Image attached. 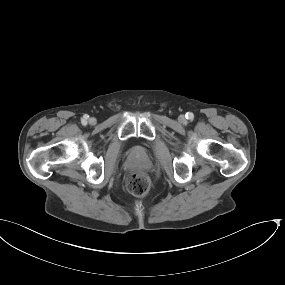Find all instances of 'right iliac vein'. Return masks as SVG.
<instances>
[{
  "mask_svg": "<svg viewBox=\"0 0 285 285\" xmlns=\"http://www.w3.org/2000/svg\"><path fill=\"white\" fill-rule=\"evenodd\" d=\"M95 122H96V120H95L94 118H90V119H89V124H90V125H94Z\"/></svg>",
  "mask_w": 285,
  "mask_h": 285,
  "instance_id": "1",
  "label": "right iliac vein"
}]
</instances>
